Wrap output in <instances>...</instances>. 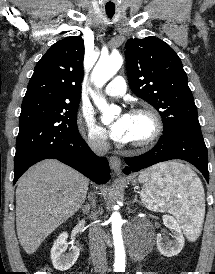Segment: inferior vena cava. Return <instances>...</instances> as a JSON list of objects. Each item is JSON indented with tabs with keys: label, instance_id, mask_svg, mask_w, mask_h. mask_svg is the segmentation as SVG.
<instances>
[{
	"label": "inferior vena cava",
	"instance_id": "1",
	"mask_svg": "<svg viewBox=\"0 0 215 274\" xmlns=\"http://www.w3.org/2000/svg\"><path fill=\"white\" fill-rule=\"evenodd\" d=\"M89 143L91 149L96 154L101 156L105 155L109 149V144L106 138L103 136L93 137ZM91 219L94 221L89 230V245L92 264L96 271H104L107 267L106 247L101 226L97 221L96 212L92 213Z\"/></svg>",
	"mask_w": 215,
	"mask_h": 274
}]
</instances>
